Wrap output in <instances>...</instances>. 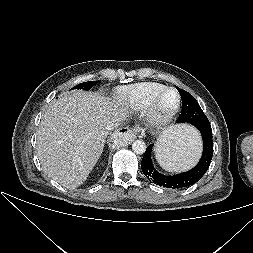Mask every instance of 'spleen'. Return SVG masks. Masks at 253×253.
<instances>
[{"label":"spleen","mask_w":253,"mask_h":253,"mask_svg":"<svg viewBox=\"0 0 253 253\" xmlns=\"http://www.w3.org/2000/svg\"><path fill=\"white\" fill-rule=\"evenodd\" d=\"M201 140L192 127L182 125L165 130L155 148L156 160L169 171H183L192 167L199 159Z\"/></svg>","instance_id":"spleen-1"}]
</instances>
